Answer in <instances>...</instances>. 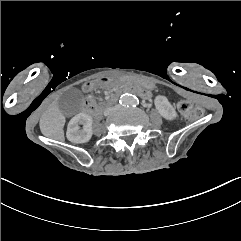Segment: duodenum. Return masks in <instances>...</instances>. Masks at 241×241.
Here are the masks:
<instances>
[{
    "instance_id": "1",
    "label": "duodenum",
    "mask_w": 241,
    "mask_h": 241,
    "mask_svg": "<svg viewBox=\"0 0 241 241\" xmlns=\"http://www.w3.org/2000/svg\"><path fill=\"white\" fill-rule=\"evenodd\" d=\"M92 87H93L92 84L88 86L89 89ZM125 93L136 94L143 98H147L149 96V92L147 90L133 86V85H129L122 89L116 90L112 94H110L106 100V105L113 104L120 96H122ZM86 108L95 118L100 117L103 112L102 106L94 105L91 101L87 102Z\"/></svg>"
}]
</instances>
